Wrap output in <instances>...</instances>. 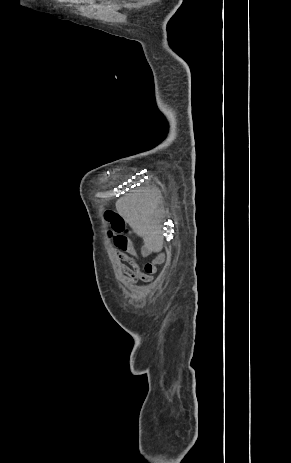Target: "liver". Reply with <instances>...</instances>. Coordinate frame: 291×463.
I'll list each match as a JSON object with an SVG mask.
<instances>
[{
    "instance_id": "obj_1",
    "label": "liver",
    "mask_w": 291,
    "mask_h": 463,
    "mask_svg": "<svg viewBox=\"0 0 291 463\" xmlns=\"http://www.w3.org/2000/svg\"><path fill=\"white\" fill-rule=\"evenodd\" d=\"M158 202L157 193L150 189L125 195L116 202L118 214L143 238L144 247L150 252L163 248Z\"/></svg>"
}]
</instances>
